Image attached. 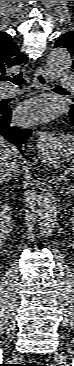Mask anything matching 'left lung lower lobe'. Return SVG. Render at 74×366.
<instances>
[{
    "label": "left lung lower lobe",
    "instance_id": "left-lung-lower-lobe-1",
    "mask_svg": "<svg viewBox=\"0 0 74 366\" xmlns=\"http://www.w3.org/2000/svg\"><path fill=\"white\" fill-rule=\"evenodd\" d=\"M69 116H70V120H71L72 124L74 125V104L71 105V108L69 111Z\"/></svg>",
    "mask_w": 74,
    "mask_h": 366
}]
</instances>
